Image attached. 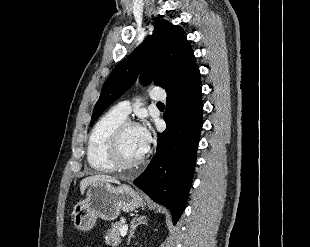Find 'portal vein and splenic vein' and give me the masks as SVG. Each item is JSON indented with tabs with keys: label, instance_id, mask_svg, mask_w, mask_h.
<instances>
[{
	"label": "portal vein and splenic vein",
	"instance_id": "18ae733b",
	"mask_svg": "<svg viewBox=\"0 0 310 247\" xmlns=\"http://www.w3.org/2000/svg\"><path fill=\"white\" fill-rule=\"evenodd\" d=\"M127 231H128V226H127V225H124V226L121 228V236L124 237V236L127 234Z\"/></svg>",
	"mask_w": 310,
	"mask_h": 247
}]
</instances>
